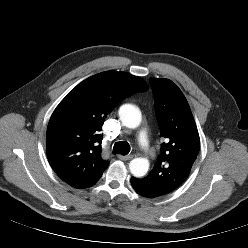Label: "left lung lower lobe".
I'll return each mask as SVG.
<instances>
[{"mask_svg": "<svg viewBox=\"0 0 248 248\" xmlns=\"http://www.w3.org/2000/svg\"><path fill=\"white\" fill-rule=\"evenodd\" d=\"M131 184H132V187L135 189V191L143 197H146V198L158 197V195L156 193H154L146 185L141 184L134 177L131 178Z\"/></svg>", "mask_w": 248, "mask_h": 248, "instance_id": "left-lung-lower-lobe-1", "label": "left lung lower lobe"}]
</instances>
